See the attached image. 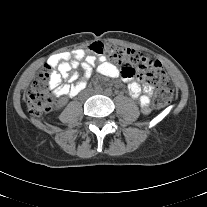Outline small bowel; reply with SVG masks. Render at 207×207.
Segmentation results:
<instances>
[{
	"instance_id": "1",
	"label": "small bowel",
	"mask_w": 207,
	"mask_h": 207,
	"mask_svg": "<svg viewBox=\"0 0 207 207\" xmlns=\"http://www.w3.org/2000/svg\"><path fill=\"white\" fill-rule=\"evenodd\" d=\"M46 66L56 69L50 73V86L57 96L74 97L79 94L86 87L93 69L96 68V71L105 77L118 78L121 76L128 81L131 97L138 101L143 113L150 112L148 95L152 92V88L147 85L142 88L139 80L123 77L121 70L106 56L97 54L91 49L89 51L77 49L72 53L53 54L48 58ZM77 69L82 70L81 77L76 72Z\"/></svg>"
}]
</instances>
